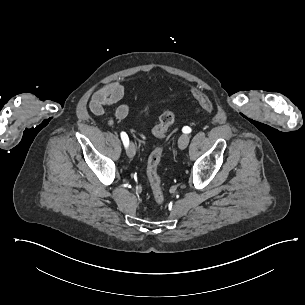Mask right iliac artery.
Returning <instances> with one entry per match:
<instances>
[{
    "label": "right iliac artery",
    "instance_id": "obj_1",
    "mask_svg": "<svg viewBox=\"0 0 305 305\" xmlns=\"http://www.w3.org/2000/svg\"><path fill=\"white\" fill-rule=\"evenodd\" d=\"M121 139L124 143V146L127 147L129 145V138L125 132H121Z\"/></svg>",
    "mask_w": 305,
    "mask_h": 305
}]
</instances>
